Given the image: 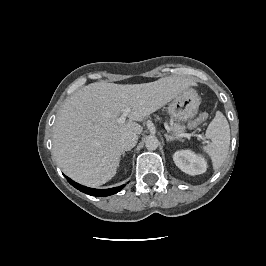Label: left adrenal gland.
<instances>
[{"label":"left adrenal gland","instance_id":"a2214340","mask_svg":"<svg viewBox=\"0 0 266 266\" xmlns=\"http://www.w3.org/2000/svg\"><path fill=\"white\" fill-rule=\"evenodd\" d=\"M164 136H165L167 142L178 139L177 137H174V136H171V135H168V134H164Z\"/></svg>","mask_w":266,"mask_h":266}]
</instances>
